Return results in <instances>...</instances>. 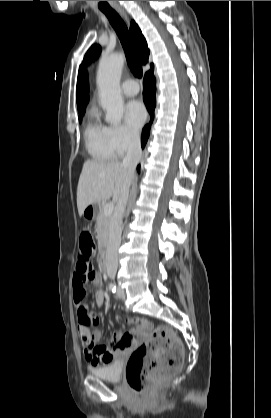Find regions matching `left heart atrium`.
<instances>
[{"label":"left heart atrium","instance_id":"left-heart-atrium-1","mask_svg":"<svg viewBox=\"0 0 271 418\" xmlns=\"http://www.w3.org/2000/svg\"><path fill=\"white\" fill-rule=\"evenodd\" d=\"M125 119L132 129H140L146 120V110L143 104L138 100L130 101L125 108Z\"/></svg>","mask_w":271,"mask_h":418}]
</instances>
